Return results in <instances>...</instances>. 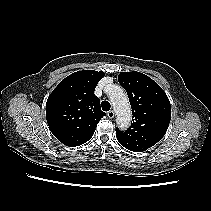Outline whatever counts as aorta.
<instances>
[{
	"label": "aorta",
	"mask_w": 211,
	"mask_h": 211,
	"mask_svg": "<svg viewBox=\"0 0 211 211\" xmlns=\"http://www.w3.org/2000/svg\"><path fill=\"white\" fill-rule=\"evenodd\" d=\"M109 99L117 115V124L125 129L131 121V106L124 90L118 85H112L109 93Z\"/></svg>",
	"instance_id": "obj_1"
}]
</instances>
